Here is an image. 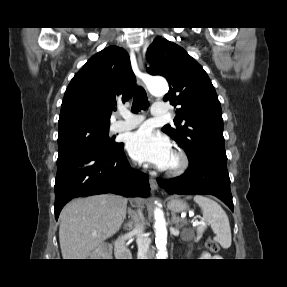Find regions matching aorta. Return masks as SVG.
Segmentation results:
<instances>
[{
	"label": "aorta",
	"mask_w": 287,
	"mask_h": 287,
	"mask_svg": "<svg viewBox=\"0 0 287 287\" xmlns=\"http://www.w3.org/2000/svg\"><path fill=\"white\" fill-rule=\"evenodd\" d=\"M149 89L153 93L165 94L168 91V84L164 79L154 80ZM154 219L155 242L158 248L157 259H167V223L161 209L154 210Z\"/></svg>",
	"instance_id": "obj_1"
}]
</instances>
